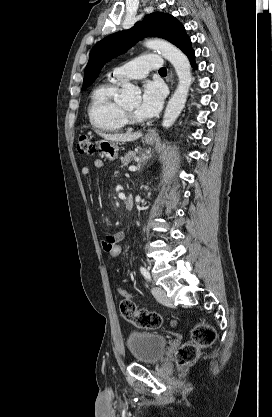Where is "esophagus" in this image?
Wrapping results in <instances>:
<instances>
[{"label":"esophagus","mask_w":272,"mask_h":417,"mask_svg":"<svg viewBox=\"0 0 272 417\" xmlns=\"http://www.w3.org/2000/svg\"><path fill=\"white\" fill-rule=\"evenodd\" d=\"M169 79L172 82V75H170ZM147 136H153V133L150 132V133L147 134Z\"/></svg>","instance_id":"1"}]
</instances>
